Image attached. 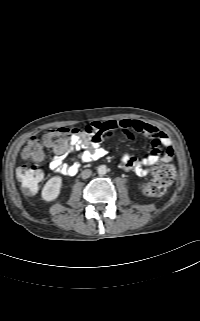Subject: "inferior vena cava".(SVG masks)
Listing matches in <instances>:
<instances>
[{"mask_svg":"<svg viewBox=\"0 0 200 321\" xmlns=\"http://www.w3.org/2000/svg\"><path fill=\"white\" fill-rule=\"evenodd\" d=\"M91 174H92V171L90 169H86L81 172V177L83 179H87L91 176Z\"/></svg>","mask_w":200,"mask_h":321,"instance_id":"1","label":"inferior vena cava"}]
</instances>
